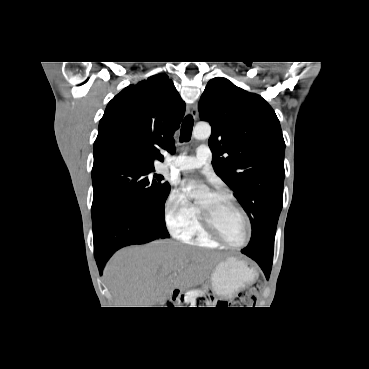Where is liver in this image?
Instances as JSON below:
<instances>
[{
  "mask_svg": "<svg viewBox=\"0 0 369 369\" xmlns=\"http://www.w3.org/2000/svg\"><path fill=\"white\" fill-rule=\"evenodd\" d=\"M218 254L158 240L118 251L105 268V277L118 307L163 305L176 288L201 283Z\"/></svg>",
  "mask_w": 369,
  "mask_h": 369,
  "instance_id": "liver-1",
  "label": "liver"
}]
</instances>
